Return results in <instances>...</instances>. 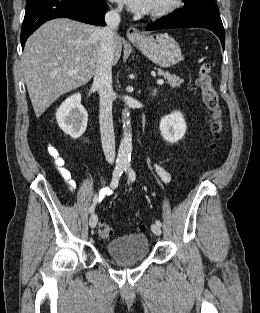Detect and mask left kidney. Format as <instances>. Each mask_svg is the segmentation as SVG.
<instances>
[{
	"label": "left kidney",
	"instance_id": "5707ae66",
	"mask_svg": "<svg viewBox=\"0 0 260 313\" xmlns=\"http://www.w3.org/2000/svg\"><path fill=\"white\" fill-rule=\"evenodd\" d=\"M159 127L163 138L170 143H176L182 139L187 129L184 117L179 111L164 116Z\"/></svg>",
	"mask_w": 260,
	"mask_h": 313
}]
</instances>
